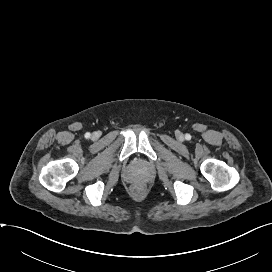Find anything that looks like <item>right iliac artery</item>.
<instances>
[{"instance_id":"right-iliac-artery-1","label":"right iliac artery","mask_w":272,"mask_h":272,"mask_svg":"<svg viewBox=\"0 0 272 272\" xmlns=\"http://www.w3.org/2000/svg\"><path fill=\"white\" fill-rule=\"evenodd\" d=\"M85 137H86V138H90V133L87 132V133L85 134Z\"/></svg>"}]
</instances>
